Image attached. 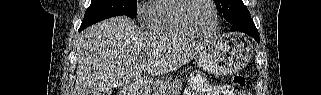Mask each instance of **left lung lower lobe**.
<instances>
[{"label":"left lung lower lobe","mask_w":321,"mask_h":95,"mask_svg":"<svg viewBox=\"0 0 321 95\" xmlns=\"http://www.w3.org/2000/svg\"><path fill=\"white\" fill-rule=\"evenodd\" d=\"M231 31H240L252 36L259 43L258 30L251 18L241 20L231 26Z\"/></svg>","instance_id":"obj_1"}]
</instances>
